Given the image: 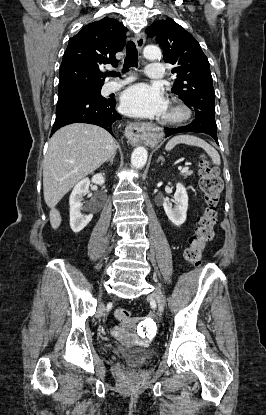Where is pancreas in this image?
Here are the masks:
<instances>
[{
	"label": "pancreas",
	"instance_id": "pancreas-1",
	"mask_svg": "<svg viewBox=\"0 0 266 415\" xmlns=\"http://www.w3.org/2000/svg\"><path fill=\"white\" fill-rule=\"evenodd\" d=\"M193 174V171H186L183 172L182 175L184 176V178H187L188 176H191Z\"/></svg>",
	"mask_w": 266,
	"mask_h": 415
}]
</instances>
